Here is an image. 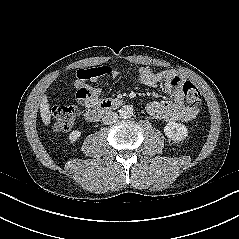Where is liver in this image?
Wrapping results in <instances>:
<instances>
[{"label": "liver", "instance_id": "1", "mask_svg": "<svg viewBox=\"0 0 239 239\" xmlns=\"http://www.w3.org/2000/svg\"><path fill=\"white\" fill-rule=\"evenodd\" d=\"M40 115H41L43 123L46 126H48L51 121V114H50V105L48 103L47 96L42 97V101L40 103Z\"/></svg>", "mask_w": 239, "mask_h": 239}]
</instances>
